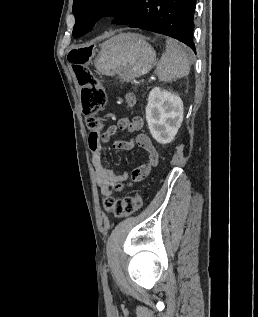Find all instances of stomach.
I'll use <instances>...</instances> for the list:
<instances>
[{
  "label": "stomach",
  "mask_w": 258,
  "mask_h": 317,
  "mask_svg": "<svg viewBox=\"0 0 258 317\" xmlns=\"http://www.w3.org/2000/svg\"><path fill=\"white\" fill-rule=\"evenodd\" d=\"M156 52L145 40V36L136 32H120L102 42L94 64L102 74H129L142 76L153 68Z\"/></svg>",
  "instance_id": "stomach-1"
}]
</instances>
